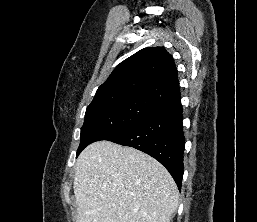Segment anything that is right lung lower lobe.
<instances>
[{"mask_svg":"<svg viewBox=\"0 0 257 222\" xmlns=\"http://www.w3.org/2000/svg\"><path fill=\"white\" fill-rule=\"evenodd\" d=\"M180 98L161 106L136 124L107 139L143 151L158 160L179 189L183 177L185 138Z\"/></svg>","mask_w":257,"mask_h":222,"instance_id":"98d812e1","label":"right lung lower lobe"}]
</instances>
